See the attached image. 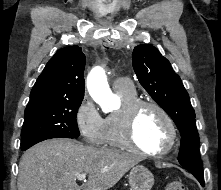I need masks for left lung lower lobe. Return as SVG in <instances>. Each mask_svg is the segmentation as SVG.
Listing matches in <instances>:
<instances>
[{"mask_svg":"<svg viewBox=\"0 0 221 190\" xmlns=\"http://www.w3.org/2000/svg\"><path fill=\"white\" fill-rule=\"evenodd\" d=\"M197 179H198V181L200 182V184L202 185V186H204V175L203 176H201V175H195V174H193Z\"/></svg>","mask_w":221,"mask_h":190,"instance_id":"1","label":"left lung lower lobe"}]
</instances>
